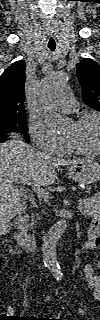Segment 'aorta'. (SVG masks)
<instances>
[{
	"instance_id": "aorta-1",
	"label": "aorta",
	"mask_w": 100,
	"mask_h": 320,
	"mask_svg": "<svg viewBox=\"0 0 100 320\" xmlns=\"http://www.w3.org/2000/svg\"><path fill=\"white\" fill-rule=\"evenodd\" d=\"M67 80V74L63 71H55L46 76L40 86V103L43 109L44 120L52 130H63L69 125V120L50 107V103L56 99L62 91ZM67 228V221L62 219L56 222L48 231L43 243V261L53 277L61 279L63 273L57 260L56 245Z\"/></svg>"
}]
</instances>
